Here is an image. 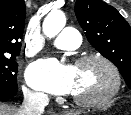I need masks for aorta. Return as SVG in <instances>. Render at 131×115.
I'll return each mask as SVG.
<instances>
[{"label":"aorta","mask_w":131,"mask_h":115,"mask_svg":"<svg viewBox=\"0 0 131 115\" xmlns=\"http://www.w3.org/2000/svg\"><path fill=\"white\" fill-rule=\"evenodd\" d=\"M66 17L61 11H52L43 22V33L48 38L55 37L65 26Z\"/></svg>","instance_id":"aorta-1"}]
</instances>
